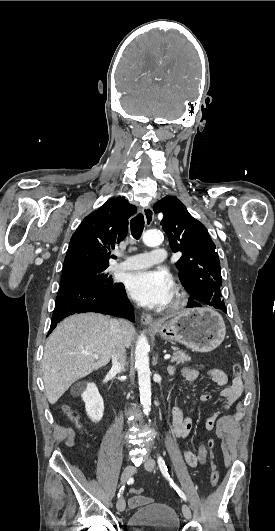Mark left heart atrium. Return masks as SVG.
I'll return each instance as SVG.
<instances>
[{"mask_svg": "<svg viewBox=\"0 0 275 531\" xmlns=\"http://www.w3.org/2000/svg\"><path fill=\"white\" fill-rule=\"evenodd\" d=\"M130 295L147 307H161L168 303L173 282L165 269L144 268L129 273L125 280Z\"/></svg>", "mask_w": 275, "mask_h": 531, "instance_id": "1", "label": "left heart atrium"}]
</instances>
